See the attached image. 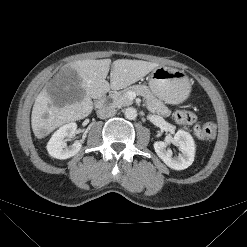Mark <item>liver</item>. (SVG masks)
<instances>
[{
  "label": "liver",
  "mask_w": 247,
  "mask_h": 247,
  "mask_svg": "<svg viewBox=\"0 0 247 247\" xmlns=\"http://www.w3.org/2000/svg\"><path fill=\"white\" fill-rule=\"evenodd\" d=\"M111 59L78 60L65 65L62 70H73L79 77L77 93L71 103L57 105L42 89L35 99L31 125L36 137L42 138L65 123L87 117L93 110V99L104 96L110 89L119 90L137 82L156 67L157 63L143 60L118 59L111 65L110 84L106 81Z\"/></svg>",
  "instance_id": "liver-1"
}]
</instances>
